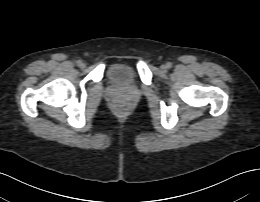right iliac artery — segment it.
I'll return each instance as SVG.
<instances>
[{"label":"right iliac artery","mask_w":260,"mask_h":202,"mask_svg":"<svg viewBox=\"0 0 260 202\" xmlns=\"http://www.w3.org/2000/svg\"><path fill=\"white\" fill-rule=\"evenodd\" d=\"M76 64H77V66H80V65L82 64V61H81V60H78V61L76 62Z\"/></svg>","instance_id":"obj_1"}]
</instances>
